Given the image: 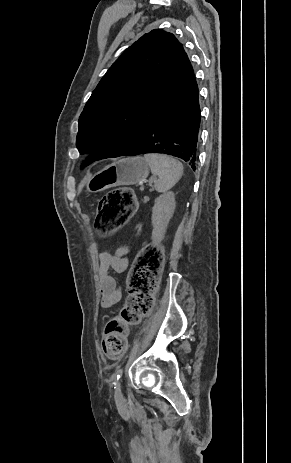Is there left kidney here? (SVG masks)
Listing matches in <instances>:
<instances>
[{"instance_id": "left-kidney-1", "label": "left kidney", "mask_w": 291, "mask_h": 463, "mask_svg": "<svg viewBox=\"0 0 291 463\" xmlns=\"http://www.w3.org/2000/svg\"><path fill=\"white\" fill-rule=\"evenodd\" d=\"M176 207L175 194L166 192L160 195L155 200L152 208V240L155 243H160L165 236V232L169 221L173 217Z\"/></svg>"}]
</instances>
